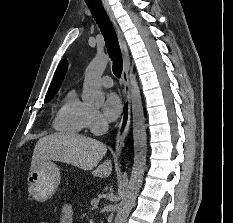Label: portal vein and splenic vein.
Returning a JSON list of instances; mask_svg holds the SVG:
<instances>
[{
  "instance_id": "portal-vein-and-splenic-vein-1",
  "label": "portal vein and splenic vein",
  "mask_w": 233,
  "mask_h": 223,
  "mask_svg": "<svg viewBox=\"0 0 233 223\" xmlns=\"http://www.w3.org/2000/svg\"><path fill=\"white\" fill-rule=\"evenodd\" d=\"M98 203H99V201H98V202H93V201H91V205H94V206H97Z\"/></svg>"
}]
</instances>
